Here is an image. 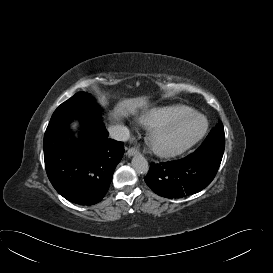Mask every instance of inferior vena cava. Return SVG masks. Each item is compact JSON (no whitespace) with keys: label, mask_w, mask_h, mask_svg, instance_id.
Instances as JSON below:
<instances>
[{"label":"inferior vena cava","mask_w":273,"mask_h":273,"mask_svg":"<svg viewBox=\"0 0 273 273\" xmlns=\"http://www.w3.org/2000/svg\"><path fill=\"white\" fill-rule=\"evenodd\" d=\"M108 132H109L110 138L118 140V141H127L130 135L128 128L121 125H115V126L109 127Z\"/></svg>","instance_id":"1"}]
</instances>
